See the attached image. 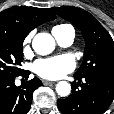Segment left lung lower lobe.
I'll return each instance as SVG.
<instances>
[{
    "instance_id": "1",
    "label": "left lung lower lobe",
    "mask_w": 114,
    "mask_h": 114,
    "mask_svg": "<svg viewBox=\"0 0 114 114\" xmlns=\"http://www.w3.org/2000/svg\"><path fill=\"white\" fill-rule=\"evenodd\" d=\"M74 78L78 83L72 82V94L57 100L59 110L64 114H103L114 99V77L74 75Z\"/></svg>"
}]
</instances>
